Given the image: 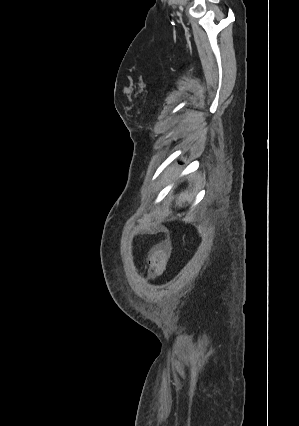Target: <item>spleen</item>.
Here are the masks:
<instances>
[{
	"mask_svg": "<svg viewBox=\"0 0 299 426\" xmlns=\"http://www.w3.org/2000/svg\"><path fill=\"white\" fill-rule=\"evenodd\" d=\"M187 198H188V194L182 193L178 198V204H180L181 202H184Z\"/></svg>",
	"mask_w": 299,
	"mask_h": 426,
	"instance_id": "1",
	"label": "spleen"
}]
</instances>
